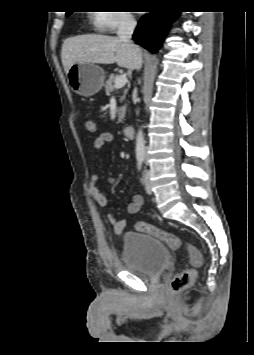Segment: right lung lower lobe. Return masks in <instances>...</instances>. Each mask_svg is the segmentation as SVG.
Wrapping results in <instances>:
<instances>
[{"mask_svg": "<svg viewBox=\"0 0 254 355\" xmlns=\"http://www.w3.org/2000/svg\"><path fill=\"white\" fill-rule=\"evenodd\" d=\"M179 14L180 12L173 10H156L146 14L134 31L133 40L152 52L158 51L171 22Z\"/></svg>", "mask_w": 254, "mask_h": 355, "instance_id": "98d812e1", "label": "right lung lower lobe"}]
</instances>
